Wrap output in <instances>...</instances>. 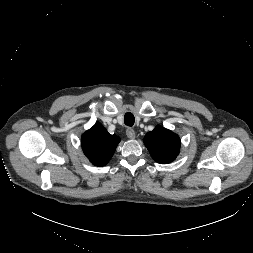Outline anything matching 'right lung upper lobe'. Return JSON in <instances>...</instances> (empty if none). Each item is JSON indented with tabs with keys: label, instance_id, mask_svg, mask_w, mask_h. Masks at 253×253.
I'll return each mask as SVG.
<instances>
[{
	"label": "right lung upper lobe",
	"instance_id": "1",
	"mask_svg": "<svg viewBox=\"0 0 253 253\" xmlns=\"http://www.w3.org/2000/svg\"><path fill=\"white\" fill-rule=\"evenodd\" d=\"M120 138L111 135L97 122L91 129L82 135V149L95 166L106 165L113 156Z\"/></svg>",
	"mask_w": 253,
	"mask_h": 253
}]
</instances>
